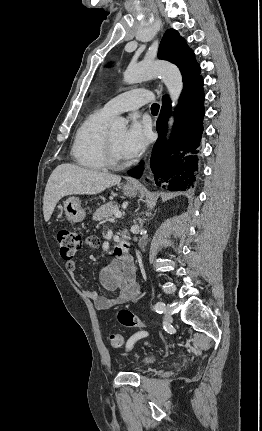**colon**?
<instances>
[{
    "instance_id": "1",
    "label": "colon",
    "mask_w": 262,
    "mask_h": 431,
    "mask_svg": "<svg viewBox=\"0 0 262 431\" xmlns=\"http://www.w3.org/2000/svg\"><path fill=\"white\" fill-rule=\"evenodd\" d=\"M57 242L61 257L66 261H71L84 247L96 246L98 240L95 236L84 237L80 232L62 229L57 233ZM118 320L126 327L140 329L146 328V324L127 309H121L119 311ZM140 337L145 336L142 334ZM108 340L110 345L114 348L121 347L124 343L123 337L118 333L109 334Z\"/></svg>"
}]
</instances>
